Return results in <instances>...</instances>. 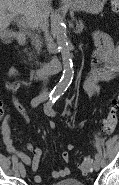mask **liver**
<instances>
[{"instance_id":"obj_1","label":"liver","mask_w":119,"mask_h":185,"mask_svg":"<svg viewBox=\"0 0 119 185\" xmlns=\"http://www.w3.org/2000/svg\"><path fill=\"white\" fill-rule=\"evenodd\" d=\"M49 13V0H0V31L6 29L18 14L24 17L31 28H37L42 20L47 21Z\"/></svg>"}]
</instances>
